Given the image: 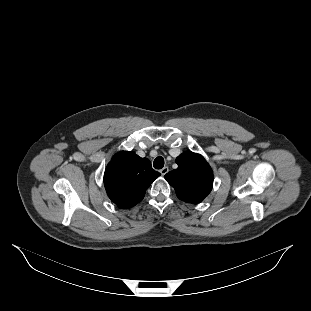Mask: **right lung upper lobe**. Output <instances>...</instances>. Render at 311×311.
Instances as JSON below:
<instances>
[{
    "instance_id": "right-lung-upper-lobe-1",
    "label": "right lung upper lobe",
    "mask_w": 311,
    "mask_h": 311,
    "mask_svg": "<svg viewBox=\"0 0 311 311\" xmlns=\"http://www.w3.org/2000/svg\"><path fill=\"white\" fill-rule=\"evenodd\" d=\"M160 175L147 158L121 151L107 165L104 185L109 198L118 207L130 208L142 201L147 188Z\"/></svg>"
}]
</instances>
